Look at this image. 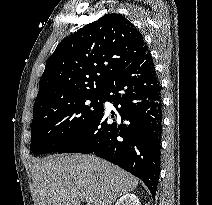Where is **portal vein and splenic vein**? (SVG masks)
<instances>
[{"mask_svg": "<svg viewBox=\"0 0 212 205\" xmlns=\"http://www.w3.org/2000/svg\"><path fill=\"white\" fill-rule=\"evenodd\" d=\"M85 200H86V202H87V203H90V202H91V199H90V198H88V197H87V198H85ZM88 205H89V204H88Z\"/></svg>", "mask_w": 212, "mask_h": 205, "instance_id": "18ae733b", "label": "portal vein and splenic vein"}]
</instances>
